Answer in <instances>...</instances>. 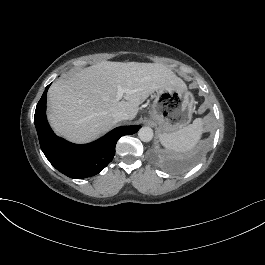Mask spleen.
<instances>
[{"label":"spleen","instance_id":"spleen-1","mask_svg":"<svg viewBox=\"0 0 265 265\" xmlns=\"http://www.w3.org/2000/svg\"><path fill=\"white\" fill-rule=\"evenodd\" d=\"M201 135V120L195 119L193 124L172 133H160L159 139L168 150H190Z\"/></svg>","mask_w":265,"mask_h":265}]
</instances>
